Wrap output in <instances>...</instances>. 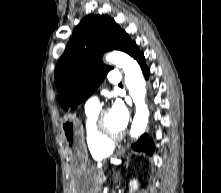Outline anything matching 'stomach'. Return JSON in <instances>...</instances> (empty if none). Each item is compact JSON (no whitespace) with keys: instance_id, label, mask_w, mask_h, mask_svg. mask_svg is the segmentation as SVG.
<instances>
[{"instance_id":"stomach-1","label":"stomach","mask_w":221,"mask_h":193,"mask_svg":"<svg viewBox=\"0 0 221 193\" xmlns=\"http://www.w3.org/2000/svg\"><path fill=\"white\" fill-rule=\"evenodd\" d=\"M61 125L60 134H65V142H68L72 155V166L75 167L76 193H96L95 182L99 169L88 162L82 122L78 120V115H65Z\"/></svg>"}]
</instances>
